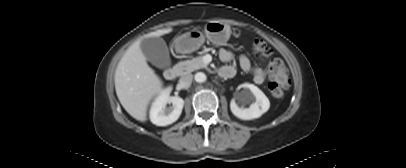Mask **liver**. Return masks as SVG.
<instances>
[{
	"label": "liver",
	"mask_w": 406,
	"mask_h": 168,
	"mask_svg": "<svg viewBox=\"0 0 406 168\" xmlns=\"http://www.w3.org/2000/svg\"><path fill=\"white\" fill-rule=\"evenodd\" d=\"M172 32L165 28L151 32L146 38L159 37ZM141 40L134 42L119 61L114 81L117 97L123 108L136 120H147L151 100L162 92L163 82L147 64Z\"/></svg>",
	"instance_id": "6515ba94"
}]
</instances>
